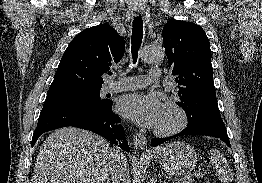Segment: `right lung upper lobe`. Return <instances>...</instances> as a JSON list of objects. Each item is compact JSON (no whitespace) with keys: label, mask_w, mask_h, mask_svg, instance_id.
<instances>
[{"label":"right lung upper lobe","mask_w":262,"mask_h":183,"mask_svg":"<svg viewBox=\"0 0 262 183\" xmlns=\"http://www.w3.org/2000/svg\"><path fill=\"white\" fill-rule=\"evenodd\" d=\"M125 40L108 24L90 27L68 45L48 90L101 88L102 75L124 54Z\"/></svg>","instance_id":"right-lung-upper-lobe-1"}]
</instances>
